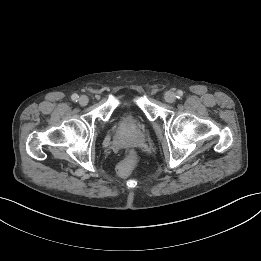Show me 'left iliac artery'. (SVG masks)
Masks as SVG:
<instances>
[{"label":"left iliac artery","instance_id":"44dca946","mask_svg":"<svg viewBox=\"0 0 261 261\" xmlns=\"http://www.w3.org/2000/svg\"><path fill=\"white\" fill-rule=\"evenodd\" d=\"M176 94H177L176 97H177L178 99H180V98H182V96H183V91L179 90V91H177Z\"/></svg>","mask_w":261,"mask_h":261}]
</instances>
